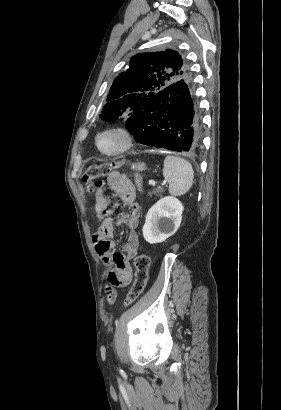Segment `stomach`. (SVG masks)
<instances>
[{
	"mask_svg": "<svg viewBox=\"0 0 281 410\" xmlns=\"http://www.w3.org/2000/svg\"><path fill=\"white\" fill-rule=\"evenodd\" d=\"M132 169L143 171L146 169V165L144 163H137V164L132 165Z\"/></svg>",
	"mask_w": 281,
	"mask_h": 410,
	"instance_id": "stomach-1",
	"label": "stomach"
}]
</instances>
